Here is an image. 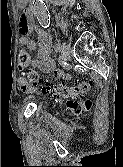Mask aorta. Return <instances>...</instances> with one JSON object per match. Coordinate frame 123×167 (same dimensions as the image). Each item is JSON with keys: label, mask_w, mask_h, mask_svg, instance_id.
Masks as SVG:
<instances>
[{"label": "aorta", "mask_w": 123, "mask_h": 167, "mask_svg": "<svg viewBox=\"0 0 123 167\" xmlns=\"http://www.w3.org/2000/svg\"><path fill=\"white\" fill-rule=\"evenodd\" d=\"M32 7L39 24L44 28L48 27L50 19L43 0H33Z\"/></svg>", "instance_id": "obj_1"}]
</instances>
